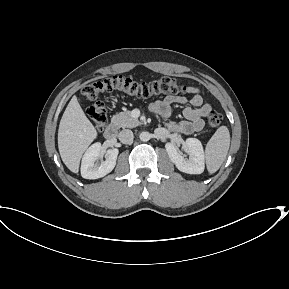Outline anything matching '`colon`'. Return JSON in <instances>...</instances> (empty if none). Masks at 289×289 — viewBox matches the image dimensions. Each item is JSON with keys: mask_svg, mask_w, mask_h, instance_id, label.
Returning a JSON list of instances; mask_svg holds the SVG:
<instances>
[{"mask_svg": "<svg viewBox=\"0 0 289 289\" xmlns=\"http://www.w3.org/2000/svg\"><path fill=\"white\" fill-rule=\"evenodd\" d=\"M186 87L175 78L161 77L149 82H138L125 76H113L103 80H95L85 84L82 95L92 104L87 108V114L96 128L102 130L108 121L104 104L98 97L105 92L117 91L130 97L146 99L157 95H175L182 93ZM222 123V115L210 111L207 117L208 128L216 130Z\"/></svg>", "mask_w": 289, "mask_h": 289, "instance_id": "colon-1", "label": "colon"}]
</instances>
